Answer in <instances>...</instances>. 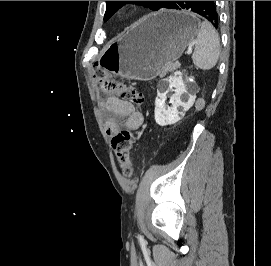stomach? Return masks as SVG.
Masks as SVG:
<instances>
[{"instance_id": "stomach-1", "label": "stomach", "mask_w": 271, "mask_h": 266, "mask_svg": "<svg viewBox=\"0 0 271 266\" xmlns=\"http://www.w3.org/2000/svg\"><path fill=\"white\" fill-rule=\"evenodd\" d=\"M199 24L189 11L163 10L148 15L110 42L99 64L114 75L152 80L182 55Z\"/></svg>"}]
</instances>
